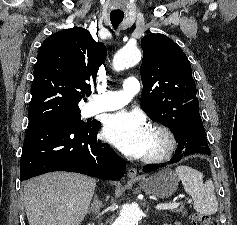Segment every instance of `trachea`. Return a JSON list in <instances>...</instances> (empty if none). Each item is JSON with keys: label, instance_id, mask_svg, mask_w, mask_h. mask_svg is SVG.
Masks as SVG:
<instances>
[{"label": "trachea", "instance_id": "obj_1", "mask_svg": "<svg viewBox=\"0 0 237 225\" xmlns=\"http://www.w3.org/2000/svg\"><path fill=\"white\" fill-rule=\"evenodd\" d=\"M123 18L124 14L110 13V20L114 28H117V26L122 22Z\"/></svg>", "mask_w": 237, "mask_h": 225}]
</instances>
